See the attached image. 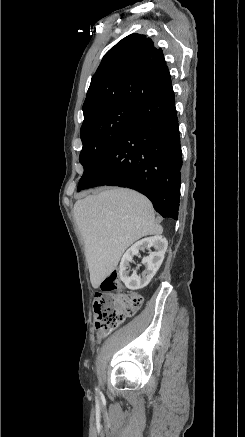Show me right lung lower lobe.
<instances>
[{
  "mask_svg": "<svg viewBox=\"0 0 245 437\" xmlns=\"http://www.w3.org/2000/svg\"><path fill=\"white\" fill-rule=\"evenodd\" d=\"M182 152L175 96L138 106L109 153L78 191L101 185L134 189L163 217L178 218Z\"/></svg>",
  "mask_w": 245,
  "mask_h": 437,
  "instance_id": "obj_1",
  "label": "right lung lower lobe"
}]
</instances>
